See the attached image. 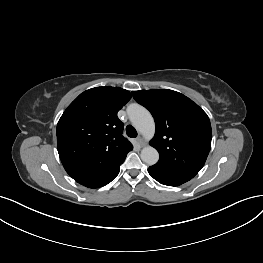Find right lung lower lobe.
Listing matches in <instances>:
<instances>
[{
    "instance_id": "98d812e1",
    "label": "right lung lower lobe",
    "mask_w": 263,
    "mask_h": 263,
    "mask_svg": "<svg viewBox=\"0 0 263 263\" xmlns=\"http://www.w3.org/2000/svg\"><path fill=\"white\" fill-rule=\"evenodd\" d=\"M120 165H118L117 167L112 169L110 172H108L102 176L92 178V179H88V180H85V181H82L79 183L81 185L88 187V188H99V187L105 186L106 184L110 183L118 175V173L120 171Z\"/></svg>"
}]
</instances>
